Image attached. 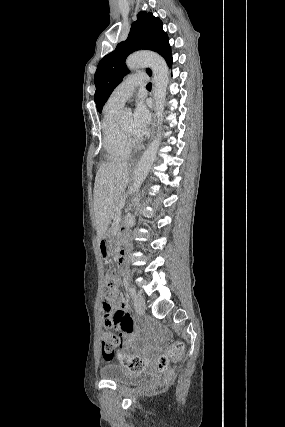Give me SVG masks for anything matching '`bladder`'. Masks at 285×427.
Here are the masks:
<instances>
[{
	"instance_id": "obj_1",
	"label": "bladder",
	"mask_w": 285,
	"mask_h": 427,
	"mask_svg": "<svg viewBox=\"0 0 285 427\" xmlns=\"http://www.w3.org/2000/svg\"><path fill=\"white\" fill-rule=\"evenodd\" d=\"M100 376L107 381L126 384L129 382L147 381L151 379L152 374L143 370L128 372L122 366L116 363H108L100 369Z\"/></svg>"
}]
</instances>
